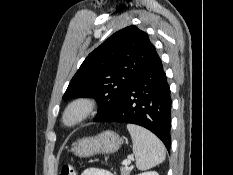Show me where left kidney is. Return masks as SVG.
<instances>
[{"mask_svg":"<svg viewBox=\"0 0 233 175\" xmlns=\"http://www.w3.org/2000/svg\"><path fill=\"white\" fill-rule=\"evenodd\" d=\"M138 175H159L157 172L155 171H149V172H144V173H141V174H138Z\"/></svg>","mask_w":233,"mask_h":175,"instance_id":"left-kidney-1","label":"left kidney"}]
</instances>
